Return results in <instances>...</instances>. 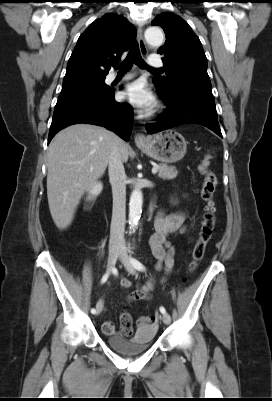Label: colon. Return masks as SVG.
<instances>
[{"label":"colon","instance_id":"obj_1","mask_svg":"<svg viewBox=\"0 0 272 401\" xmlns=\"http://www.w3.org/2000/svg\"><path fill=\"white\" fill-rule=\"evenodd\" d=\"M199 170L203 176L201 187V198L204 202V214L201 221L198 240L192 252V261L189 265V271L193 272L199 261L202 259L207 243L210 241L216 224V204L214 194L217 187V177L209 169V157H206L200 164ZM153 322L149 316L140 317L137 320L139 326H147Z\"/></svg>","mask_w":272,"mask_h":401}]
</instances>
